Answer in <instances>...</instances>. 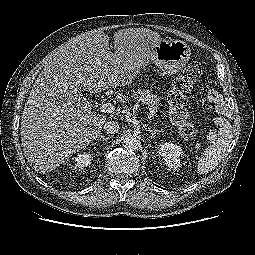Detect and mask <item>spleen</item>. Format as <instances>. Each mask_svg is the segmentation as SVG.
<instances>
[{
    "mask_svg": "<svg viewBox=\"0 0 255 255\" xmlns=\"http://www.w3.org/2000/svg\"><path fill=\"white\" fill-rule=\"evenodd\" d=\"M219 131L216 142L208 146L198 160L197 173L205 174L214 170L223 159L232 140V126L224 118L218 119Z\"/></svg>",
    "mask_w": 255,
    "mask_h": 255,
    "instance_id": "1",
    "label": "spleen"
}]
</instances>
